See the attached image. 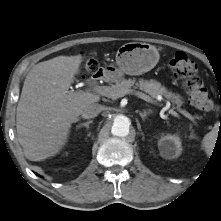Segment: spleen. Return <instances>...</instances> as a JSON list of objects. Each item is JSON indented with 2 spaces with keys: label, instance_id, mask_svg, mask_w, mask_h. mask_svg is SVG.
Segmentation results:
<instances>
[{
  "label": "spleen",
  "instance_id": "1",
  "mask_svg": "<svg viewBox=\"0 0 221 221\" xmlns=\"http://www.w3.org/2000/svg\"><path fill=\"white\" fill-rule=\"evenodd\" d=\"M217 132H218V125L215 124L214 129L211 132H209L203 139L202 144L205 147L207 153H210L214 146Z\"/></svg>",
  "mask_w": 221,
  "mask_h": 221
}]
</instances>
